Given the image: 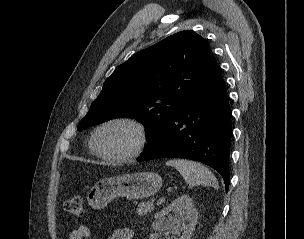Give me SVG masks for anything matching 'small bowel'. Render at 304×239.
<instances>
[{"instance_id": "1", "label": "small bowel", "mask_w": 304, "mask_h": 239, "mask_svg": "<svg viewBox=\"0 0 304 239\" xmlns=\"http://www.w3.org/2000/svg\"><path fill=\"white\" fill-rule=\"evenodd\" d=\"M91 237L90 229L81 225L76 229L72 230L67 239H89ZM133 232L129 228H121L114 231L107 239H132Z\"/></svg>"}]
</instances>
